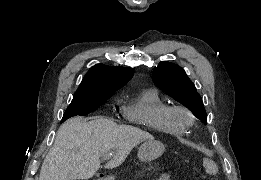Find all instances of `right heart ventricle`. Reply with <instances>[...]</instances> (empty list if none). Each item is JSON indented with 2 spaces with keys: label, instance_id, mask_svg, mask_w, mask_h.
Listing matches in <instances>:
<instances>
[{
  "label": "right heart ventricle",
  "instance_id": "right-heart-ventricle-1",
  "mask_svg": "<svg viewBox=\"0 0 261 180\" xmlns=\"http://www.w3.org/2000/svg\"><path fill=\"white\" fill-rule=\"evenodd\" d=\"M170 104L155 89H146L133 99L127 100L121 105L120 121H136V126L143 127V131L161 133V138L154 141L180 142L186 136L184 127L169 125L165 120V110Z\"/></svg>",
  "mask_w": 261,
  "mask_h": 180
}]
</instances>
